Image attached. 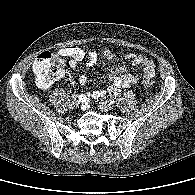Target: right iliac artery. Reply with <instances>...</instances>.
<instances>
[{
	"mask_svg": "<svg viewBox=\"0 0 195 195\" xmlns=\"http://www.w3.org/2000/svg\"><path fill=\"white\" fill-rule=\"evenodd\" d=\"M72 97H73V98H76V96H75V95H73Z\"/></svg>",
	"mask_w": 195,
	"mask_h": 195,
	"instance_id": "1",
	"label": "right iliac artery"
}]
</instances>
